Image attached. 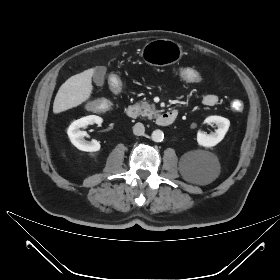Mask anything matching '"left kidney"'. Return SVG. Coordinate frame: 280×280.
Masks as SVG:
<instances>
[{
    "instance_id": "1",
    "label": "left kidney",
    "mask_w": 280,
    "mask_h": 280,
    "mask_svg": "<svg viewBox=\"0 0 280 280\" xmlns=\"http://www.w3.org/2000/svg\"><path fill=\"white\" fill-rule=\"evenodd\" d=\"M204 123H214L218 129L211 134L201 131L197 133V142L203 147H213L217 145L220 141H222L230 126V121L227 118L217 115L208 116L204 120Z\"/></svg>"
}]
</instances>
